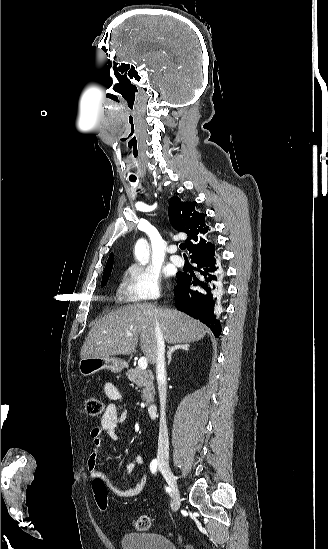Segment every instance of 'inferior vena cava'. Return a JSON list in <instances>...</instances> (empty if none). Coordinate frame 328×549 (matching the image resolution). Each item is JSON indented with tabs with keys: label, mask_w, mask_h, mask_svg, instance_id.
Listing matches in <instances>:
<instances>
[{
	"label": "inferior vena cava",
	"mask_w": 328,
	"mask_h": 549,
	"mask_svg": "<svg viewBox=\"0 0 328 549\" xmlns=\"http://www.w3.org/2000/svg\"><path fill=\"white\" fill-rule=\"evenodd\" d=\"M156 341V377L158 383L159 399H160V423H159V439H158V459L167 455L169 449L168 429L166 423V397H167V375L165 369V345L163 335L159 325L155 327Z\"/></svg>",
	"instance_id": "1"
}]
</instances>
